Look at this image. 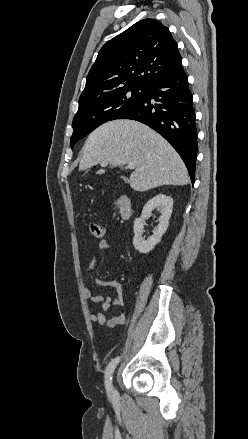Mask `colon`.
<instances>
[{"label": "colon", "instance_id": "obj_1", "mask_svg": "<svg viewBox=\"0 0 248 439\" xmlns=\"http://www.w3.org/2000/svg\"><path fill=\"white\" fill-rule=\"evenodd\" d=\"M89 229H90V232L94 238H96V239L103 238L104 228L101 224H99L97 222H93L90 224Z\"/></svg>", "mask_w": 248, "mask_h": 439}]
</instances>
